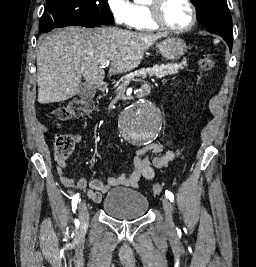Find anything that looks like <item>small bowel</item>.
<instances>
[{"label": "small bowel", "instance_id": "1", "mask_svg": "<svg viewBox=\"0 0 256 267\" xmlns=\"http://www.w3.org/2000/svg\"><path fill=\"white\" fill-rule=\"evenodd\" d=\"M147 91V89H145ZM82 140L81 135L74 137L77 144ZM171 144L170 139L164 138L158 143H149L141 147L135 154L133 168L127 172L113 175L106 182L99 179L88 181L86 177L73 179L66 174L65 160H58L56 171L61 183L68 189L83 191L89 186L87 196L94 202H100L103 195L111 188L119 186L137 187L140 180H152L154 178V170L166 167L171 161L179 157L180 150L163 151L165 146ZM153 155L150 159L149 156Z\"/></svg>", "mask_w": 256, "mask_h": 267}]
</instances>
